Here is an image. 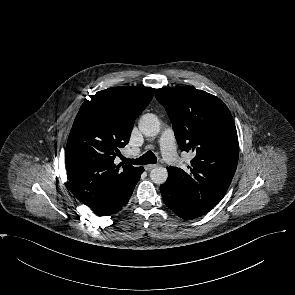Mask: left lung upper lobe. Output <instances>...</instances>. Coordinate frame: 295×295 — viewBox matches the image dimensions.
<instances>
[{"label":"left lung upper lobe","instance_id":"1","mask_svg":"<svg viewBox=\"0 0 295 295\" xmlns=\"http://www.w3.org/2000/svg\"><path fill=\"white\" fill-rule=\"evenodd\" d=\"M156 99L168 113L180 149L194 156L188 170L168 167L167 181L206 214L222 200L236 171L233 117L219 98L191 86L157 89Z\"/></svg>","mask_w":295,"mask_h":295}]
</instances>
